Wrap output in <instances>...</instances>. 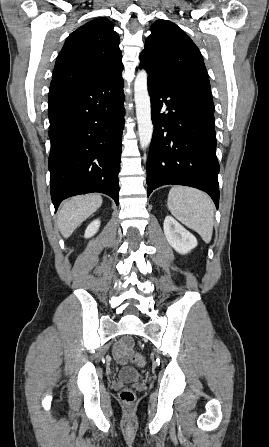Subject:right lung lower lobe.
Returning <instances> with one entry per match:
<instances>
[{"label": "right lung lower lobe", "mask_w": 269, "mask_h": 447, "mask_svg": "<svg viewBox=\"0 0 269 447\" xmlns=\"http://www.w3.org/2000/svg\"><path fill=\"white\" fill-rule=\"evenodd\" d=\"M121 73L100 83L50 89L48 116L52 202L101 192L118 201L124 128Z\"/></svg>", "instance_id": "1"}]
</instances>
